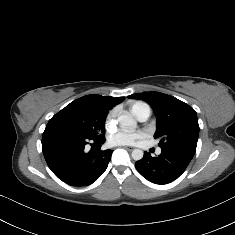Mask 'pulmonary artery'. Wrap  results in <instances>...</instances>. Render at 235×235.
<instances>
[{
	"label": "pulmonary artery",
	"instance_id": "obj_1",
	"mask_svg": "<svg viewBox=\"0 0 235 235\" xmlns=\"http://www.w3.org/2000/svg\"><path fill=\"white\" fill-rule=\"evenodd\" d=\"M134 114L139 121L144 122L150 117L151 108L145 103L139 104L136 106ZM158 152H160V150Z\"/></svg>",
	"mask_w": 235,
	"mask_h": 235
}]
</instances>
